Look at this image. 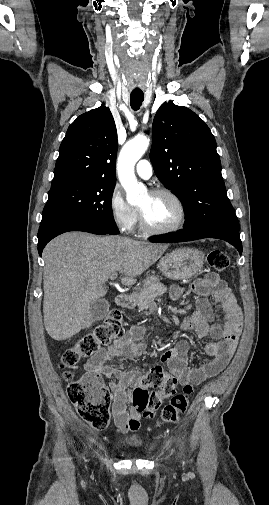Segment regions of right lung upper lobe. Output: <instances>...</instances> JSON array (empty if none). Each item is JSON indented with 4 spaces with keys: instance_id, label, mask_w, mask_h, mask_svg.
Instances as JSON below:
<instances>
[{
    "instance_id": "obj_1",
    "label": "right lung upper lobe",
    "mask_w": 269,
    "mask_h": 505,
    "mask_svg": "<svg viewBox=\"0 0 269 505\" xmlns=\"http://www.w3.org/2000/svg\"><path fill=\"white\" fill-rule=\"evenodd\" d=\"M117 131L109 108L86 112L69 126L51 188L76 182H115Z\"/></svg>"
}]
</instances>
